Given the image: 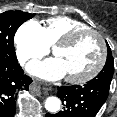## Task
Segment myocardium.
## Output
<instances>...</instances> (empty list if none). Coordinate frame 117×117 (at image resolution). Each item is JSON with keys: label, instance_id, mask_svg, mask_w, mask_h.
Wrapping results in <instances>:
<instances>
[{"label": "myocardium", "instance_id": "myocardium-1", "mask_svg": "<svg viewBox=\"0 0 117 117\" xmlns=\"http://www.w3.org/2000/svg\"><path fill=\"white\" fill-rule=\"evenodd\" d=\"M88 33L93 34L97 38L100 44L101 52H100L99 60L97 64L89 72L85 73L84 75L76 76V77L66 76L65 79L69 83L82 84V83L88 82L92 80L93 78H95L101 72L107 59V47H106L105 40L103 36L97 30L87 27V28H82V29L74 30V31L67 33L62 38H60L52 47V52L55 55V52L58 48L68 47L77 38Z\"/></svg>", "mask_w": 117, "mask_h": 117}]
</instances>
